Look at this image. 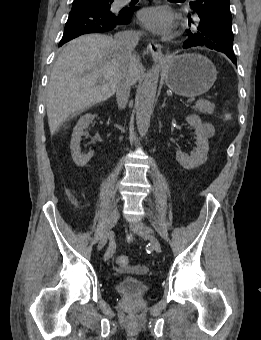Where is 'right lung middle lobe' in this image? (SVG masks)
Listing matches in <instances>:
<instances>
[{
  "label": "right lung middle lobe",
  "instance_id": "dd1d6c3e",
  "mask_svg": "<svg viewBox=\"0 0 261 340\" xmlns=\"http://www.w3.org/2000/svg\"><path fill=\"white\" fill-rule=\"evenodd\" d=\"M103 1H111V0H103Z\"/></svg>",
  "mask_w": 261,
  "mask_h": 340
}]
</instances>
